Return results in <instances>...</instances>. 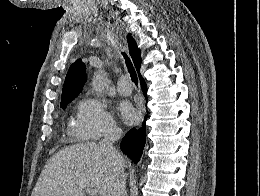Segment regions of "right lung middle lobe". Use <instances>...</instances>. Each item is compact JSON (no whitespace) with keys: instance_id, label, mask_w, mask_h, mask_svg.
Masks as SVG:
<instances>
[{"instance_id":"obj_1","label":"right lung middle lobe","mask_w":260,"mask_h":196,"mask_svg":"<svg viewBox=\"0 0 260 196\" xmlns=\"http://www.w3.org/2000/svg\"><path fill=\"white\" fill-rule=\"evenodd\" d=\"M63 109H65L66 108V106H64V107H62Z\"/></svg>"}]
</instances>
